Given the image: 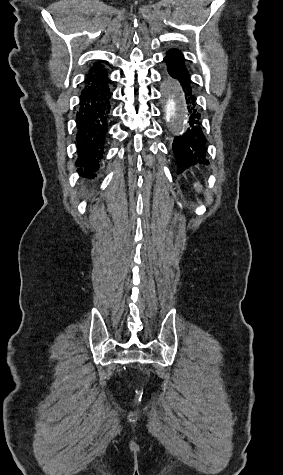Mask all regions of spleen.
<instances>
[{
  "label": "spleen",
  "instance_id": "3e777b00",
  "mask_svg": "<svg viewBox=\"0 0 283 475\" xmlns=\"http://www.w3.org/2000/svg\"><path fill=\"white\" fill-rule=\"evenodd\" d=\"M194 188H196L197 192H200V190H201V186H199L198 182H196V184H194Z\"/></svg>",
  "mask_w": 283,
  "mask_h": 475
}]
</instances>
